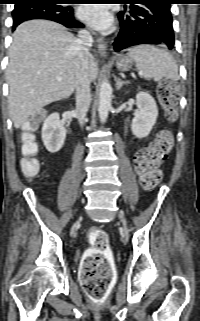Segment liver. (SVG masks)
<instances>
[{"label": "liver", "instance_id": "obj_1", "mask_svg": "<svg viewBox=\"0 0 200 321\" xmlns=\"http://www.w3.org/2000/svg\"><path fill=\"white\" fill-rule=\"evenodd\" d=\"M76 38L62 25L31 20L13 34L6 79L8 107L14 127L19 128L42 107L68 98L75 89L77 73ZM90 81L96 79L98 66L88 58ZM62 81H58V78Z\"/></svg>", "mask_w": 200, "mask_h": 321}]
</instances>
